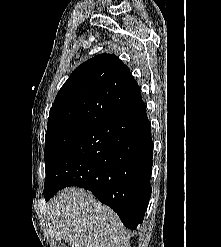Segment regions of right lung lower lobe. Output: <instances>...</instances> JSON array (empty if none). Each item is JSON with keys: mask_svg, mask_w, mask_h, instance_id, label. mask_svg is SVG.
<instances>
[{"mask_svg": "<svg viewBox=\"0 0 221 247\" xmlns=\"http://www.w3.org/2000/svg\"><path fill=\"white\" fill-rule=\"evenodd\" d=\"M152 158L151 125L142 102L89 128L64 151L45 180V200L62 188L82 187L135 230L151 197Z\"/></svg>", "mask_w": 221, "mask_h": 247, "instance_id": "right-lung-lower-lobe-1", "label": "right lung lower lobe"}]
</instances>
